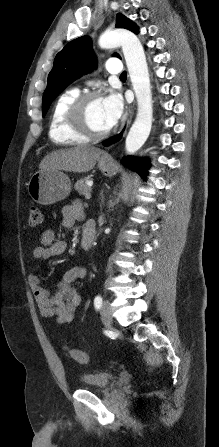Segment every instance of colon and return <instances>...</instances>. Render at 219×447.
<instances>
[{"label": "colon", "mask_w": 219, "mask_h": 447, "mask_svg": "<svg viewBox=\"0 0 219 447\" xmlns=\"http://www.w3.org/2000/svg\"><path fill=\"white\" fill-rule=\"evenodd\" d=\"M42 223V212L37 205H31L29 208V225L31 227H38ZM69 356L80 364H85L88 361L86 353L82 350L66 347Z\"/></svg>", "instance_id": "1"}]
</instances>
